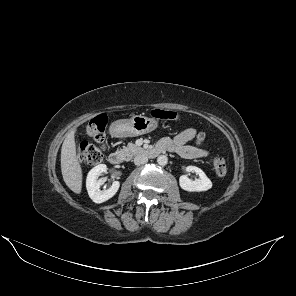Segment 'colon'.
I'll return each instance as SVG.
<instances>
[{
	"label": "colon",
	"mask_w": 296,
	"mask_h": 296,
	"mask_svg": "<svg viewBox=\"0 0 296 296\" xmlns=\"http://www.w3.org/2000/svg\"><path fill=\"white\" fill-rule=\"evenodd\" d=\"M151 115L157 119L164 120H177L180 117L179 113L164 109H154L151 111ZM106 124L107 118L105 115H99L89 123L87 133L98 145H94L86 141L78 144L77 157L81 163L96 165L102 161L105 150L104 142ZM204 139V133L199 132L196 135L195 142L197 145H201ZM212 164L215 173L219 177H223L227 174V165L224 158L215 156L212 160Z\"/></svg>",
	"instance_id": "5ec220e1"
}]
</instances>
